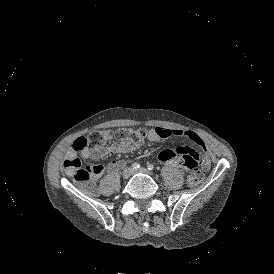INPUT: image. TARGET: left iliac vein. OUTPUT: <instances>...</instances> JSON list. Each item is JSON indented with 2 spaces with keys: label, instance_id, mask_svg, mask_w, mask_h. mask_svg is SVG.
<instances>
[{
  "label": "left iliac vein",
  "instance_id": "left-iliac-vein-1",
  "mask_svg": "<svg viewBox=\"0 0 274 274\" xmlns=\"http://www.w3.org/2000/svg\"><path fill=\"white\" fill-rule=\"evenodd\" d=\"M138 173H143V174L152 176V173L149 170H147L146 168H140L138 170L132 171V174H138Z\"/></svg>",
  "mask_w": 274,
  "mask_h": 274
}]
</instances>
